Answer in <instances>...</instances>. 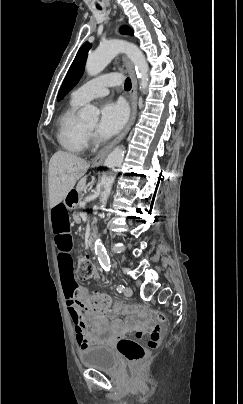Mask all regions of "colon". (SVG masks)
I'll list each match as a JSON object with an SVG mask.
<instances>
[{
	"mask_svg": "<svg viewBox=\"0 0 243 404\" xmlns=\"http://www.w3.org/2000/svg\"><path fill=\"white\" fill-rule=\"evenodd\" d=\"M78 275L82 280H88L95 276V268L88 256H81L78 260ZM79 304L90 313L99 317H108L114 313L126 312L133 315H142L145 310L140 305L125 304L113 299L104 293H91L79 300ZM155 316L159 322L166 320L162 312H156ZM146 344L134 339H123L117 347L119 352L130 362L141 361L149 350L157 348L161 341V329L154 326L148 330ZM140 338V337H138Z\"/></svg>",
	"mask_w": 243,
	"mask_h": 404,
	"instance_id": "obj_1",
	"label": "colon"
}]
</instances>
